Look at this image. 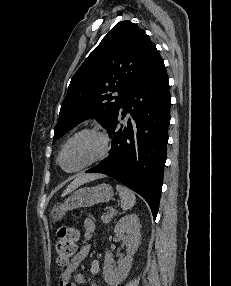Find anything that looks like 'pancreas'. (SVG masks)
Wrapping results in <instances>:
<instances>
[{
	"label": "pancreas",
	"mask_w": 231,
	"mask_h": 286,
	"mask_svg": "<svg viewBox=\"0 0 231 286\" xmlns=\"http://www.w3.org/2000/svg\"><path fill=\"white\" fill-rule=\"evenodd\" d=\"M114 215L115 212L110 210V212H107L101 216V220L103 221V223H108L113 218Z\"/></svg>",
	"instance_id": "obj_1"
}]
</instances>
